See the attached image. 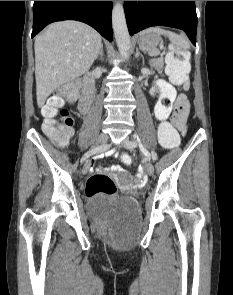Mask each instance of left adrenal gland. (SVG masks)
<instances>
[{
	"label": "left adrenal gland",
	"instance_id": "obj_1",
	"mask_svg": "<svg viewBox=\"0 0 233 295\" xmlns=\"http://www.w3.org/2000/svg\"><path fill=\"white\" fill-rule=\"evenodd\" d=\"M139 57H141V58H142V60H143V56H142V54H140V52H139L138 48H136V54H135V58H139Z\"/></svg>",
	"mask_w": 233,
	"mask_h": 295
}]
</instances>
